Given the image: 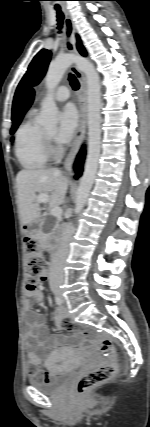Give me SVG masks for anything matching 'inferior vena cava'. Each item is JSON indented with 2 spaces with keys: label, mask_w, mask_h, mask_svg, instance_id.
<instances>
[{
  "label": "inferior vena cava",
  "mask_w": 150,
  "mask_h": 427,
  "mask_svg": "<svg viewBox=\"0 0 150 427\" xmlns=\"http://www.w3.org/2000/svg\"><path fill=\"white\" fill-rule=\"evenodd\" d=\"M73 233L74 227L72 223H68L65 226L60 246L51 263L49 273V283L51 287L59 286L64 282V266L69 253V242Z\"/></svg>",
  "instance_id": "obj_1"
}]
</instances>
